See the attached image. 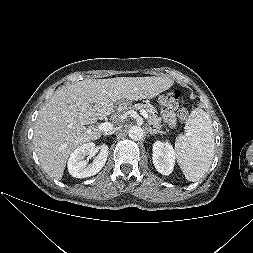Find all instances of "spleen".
Masks as SVG:
<instances>
[{"mask_svg": "<svg viewBox=\"0 0 253 253\" xmlns=\"http://www.w3.org/2000/svg\"><path fill=\"white\" fill-rule=\"evenodd\" d=\"M185 134L175 143V155L188 181H197L209 170L214 156V134L212 121L202 109L191 112Z\"/></svg>", "mask_w": 253, "mask_h": 253, "instance_id": "spleen-1", "label": "spleen"}]
</instances>
